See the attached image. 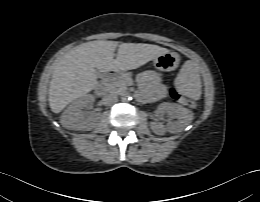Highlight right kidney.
Listing matches in <instances>:
<instances>
[{
  "label": "right kidney",
  "mask_w": 260,
  "mask_h": 202,
  "mask_svg": "<svg viewBox=\"0 0 260 202\" xmlns=\"http://www.w3.org/2000/svg\"><path fill=\"white\" fill-rule=\"evenodd\" d=\"M94 102L93 95H84L74 101L62 114L61 124L69 130L90 131L99 122V113H84L82 110Z\"/></svg>",
  "instance_id": "ca27d5eb"
}]
</instances>
